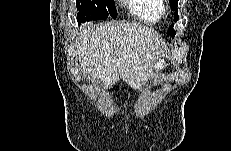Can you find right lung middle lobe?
<instances>
[{
  "mask_svg": "<svg viewBox=\"0 0 231 151\" xmlns=\"http://www.w3.org/2000/svg\"><path fill=\"white\" fill-rule=\"evenodd\" d=\"M78 21L86 22L92 20H105L108 16L115 19L117 11L114 0H78Z\"/></svg>",
  "mask_w": 231,
  "mask_h": 151,
  "instance_id": "obj_1",
  "label": "right lung middle lobe"
}]
</instances>
